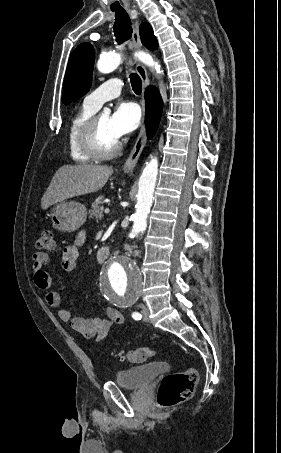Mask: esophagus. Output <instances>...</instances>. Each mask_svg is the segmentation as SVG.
Returning <instances> with one entry per match:
<instances>
[{
  "mask_svg": "<svg viewBox=\"0 0 281 453\" xmlns=\"http://www.w3.org/2000/svg\"><path fill=\"white\" fill-rule=\"evenodd\" d=\"M141 46L142 45H141V41H140V37H139V23H138V21H136L133 26V36H132L131 48L134 50H139L141 48ZM136 70H137V73L139 74V77L142 80L143 87L146 88L149 84V79H148V75H147L145 66L142 63H137ZM146 141H147L146 129H145V123H144V119H143L136 143L123 166V170L125 173L131 174L133 172L135 165L138 162V159L140 157V154L142 153V150L146 145Z\"/></svg>",
  "mask_w": 281,
  "mask_h": 453,
  "instance_id": "obj_1",
  "label": "esophagus"
}]
</instances>
